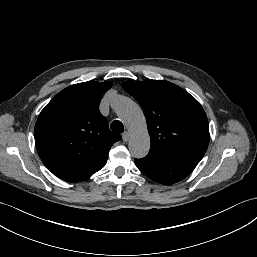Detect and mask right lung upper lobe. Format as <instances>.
Instances as JSON below:
<instances>
[{
  "label": "right lung upper lobe",
  "mask_w": 257,
  "mask_h": 257,
  "mask_svg": "<svg viewBox=\"0 0 257 257\" xmlns=\"http://www.w3.org/2000/svg\"><path fill=\"white\" fill-rule=\"evenodd\" d=\"M110 82L71 85L42 110L35 125V142L45 166L67 181L84 180L107 162L111 146L121 136L109 130L99 111Z\"/></svg>",
  "instance_id": "1"
}]
</instances>
